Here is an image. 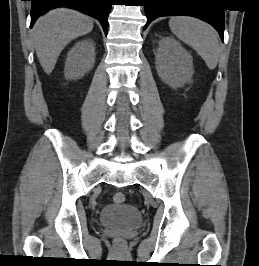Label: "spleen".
Instances as JSON below:
<instances>
[{
	"mask_svg": "<svg viewBox=\"0 0 259 266\" xmlns=\"http://www.w3.org/2000/svg\"><path fill=\"white\" fill-rule=\"evenodd\" d=\"M169 26L174 35L192 47L205 61L210 70L219 61V41L214 28L199 19L189 16L172 17Z\"/></svg>",
	"mask_w": 259,
	"mask_h": 266,
	"instance_id": "1",
	"label": "spleen"
}]
</instances>
